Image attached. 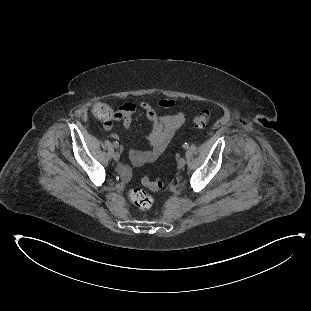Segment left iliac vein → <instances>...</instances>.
Wrapping results in <instances>:
<instances>
[{
	"mask_svg": "<svg viewBox=\"0 0 311 311\" xmlns=\"http://www.w3.org/2000/svg\"><path fill=\"white\" fill-rule=\"evenodd\" d=\"M185 164H186V161H185L184 158H180V159L178 160V168H179V169L184 168Z\"/></svg>",
	"mask_w": 311,
	"mask_h": 311,
	"instance_id": "1",
	"label": "left iliac vein"
}]
</instances>
